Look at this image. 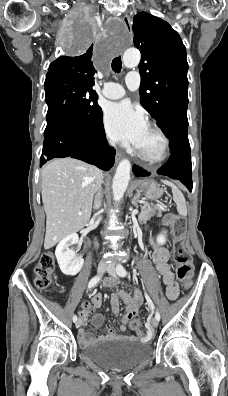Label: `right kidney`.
I'll list each match as a JSON object with an SVG mask.
<instances>
[{
    "label": "right kidney",
    "instance_id": "obj_1",
    "mask_svg": "<svg viewBox=\"0 0 228 396\" xmlns=\"http://www.w3.org/2000/svg\"><path fill=\"white\" fill-rule=\"evenodd\" d=\"M79 237L76 233L70 234L59 242L55 250V256L63 274L74 276L82 268L84 260L77 256L70 247L76 244Z\"/></svg>",
    "mask_w": 228,
    "mask_h": 396
}]
</instances>
